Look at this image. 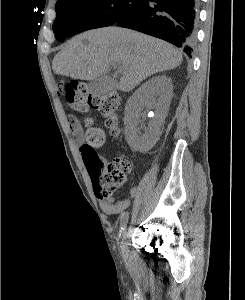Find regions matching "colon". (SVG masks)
I'll list each match as a JSON object with an SVG mask.
<instances>
[{
    "instance_id": "obj_1",
    "label": "colon",
    "mask_w": 245,
    "mask_h": 300,
    "mask_svg": "<svg viewBox=\"0 0 245 300\" xmlns=\"http://www.w3.org/2000/svg\"><path fill=\"white\" fill-rule=\"evenodd\" d=\"M58 91L65 96L70 106L79 112L88 108L97 110L105 118V126L112 135L119 133L120 97L115 92L94 95L85 82L73 81L60 83ZM86 131L80 152L86 168L92 179L93 187L100 198H110L123 186L126 175L131 169L130 162L123 156H118L108 162L98 152L105 143L106 135L101 128L93 125V119H85Z\"/></svg>"
}]
</instances>
